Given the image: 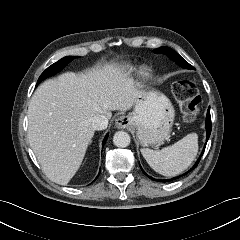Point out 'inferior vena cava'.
Wrapping results in <instances>:
<instances>
[{"mask_svg":"<svg viewBox=\"0 0 240 240\" xmlns=\"http://www.w3.org/2000/svg\"><path fill=\"white\" fill-rule=\"evenodd\" d=\"M91 125L94 130H103L107 128L108 118L105 115H96L92 118Z\"/></svg>","mask_w":240,"mask_h":240,"instance_id":"obj_1","label":"inferior vena cava"}]
</instances>
